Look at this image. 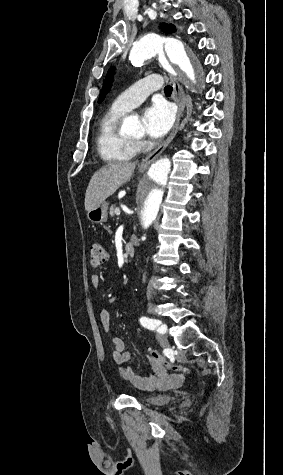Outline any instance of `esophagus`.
<instances>
[{
  "label": "esophagus",
  "instance_id": "esophagus-1",
  "mask_svg": "<svg viewBox=\"0 0 283 475\" xmlns=\"http://www.w3.org/2000/svg\"><path fill=\"white\" fill-rule=\"evenodd\" d=\"M170 80L173 85V95H174V100L178 104V110H177V115H176V121L174 124V127L172 129V132L170 135L167 137V139L158 147L156 148L153 152L149 153L144 160H142L139 170H143L149 165L156 160L157 157L165 150L167 145L173 140L175 137L179 123H180V118L182 116L183 110L185 108L186 104V99H185V93L181 87V85L178 83L175 77L173 75H170Z\"/></svg>",
  "mask_w": 283,
  "mask_h": 475
}]
</instances>
